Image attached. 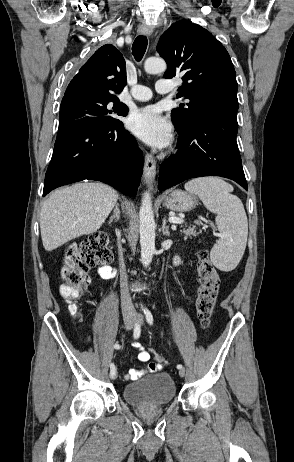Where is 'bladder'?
Here are the masks:
<instances>
[{
	"instance_id": "bladder-1",
	"label": "bladder",
	"mask_w": 294,
	"mask_h": 462,
	"mask_svg": "<svg viewBox=\"0 0 294 462\" xmlns=\"http://www.w3.org/2000/svg\"><path fill=\"white\" fill-rule=\"evenodd\" d=\"M176 396V385L168 373L157 372L127 384L124 399L137 407H158L169 404Z\"/></svg>"
}]
</instances>
